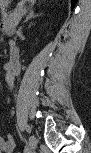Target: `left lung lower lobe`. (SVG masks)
<instances>
[{
  "label": "left lung lower lobe",
  "instance_id": "left-lung-lower-lobe-1",
  "mask_svg": "<svg viewBox=\"0 0 91 153\" xmlns=\"http://www.w3.org/2000/svg\"><path fill=\"white\" fill-rule=\"evenodd\" d=\"M71 1H72V8H73V6L77 2V0H71Z\"/></svg>",
  "mask_w": 91,
  "mask_h": 153
}]
</instances>
